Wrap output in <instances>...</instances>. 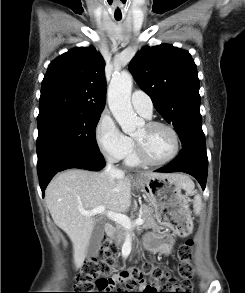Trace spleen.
I'll return each instance as SVG.
<instances>
[{"label": "spleen", "mask_w": 245, "mask_h": 293, "mask_svg": "<svg viewBox=\"0 0 245 293\" xmlns=\"http://www.w3.org/2000/svg\"><path fill=\"white\" fill-rule=\"evenodd\" d=\"M193 208L196 214H199L202 208V198L200 194H196L193 200Z\"/></svg>", "instance_id": "3e777b00"}]
</instances>
